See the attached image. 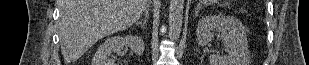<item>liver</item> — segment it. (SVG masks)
<instances>
[{
    "mask_svg": "<svg viewBox=\"0 0 309 65\" xmlns=\"http://www.w3.org/2000/svg\"><path fill=\"white\" fill-rule=\"evenodd\" d=\"M149 0H60L59 36L66 63L96 41L136 23Z\"/></svg>",
    "mask_w": 309,
    "mask_h": 65,
    "instance_id": "1",
    "label": "liver"
}]
</instances>
